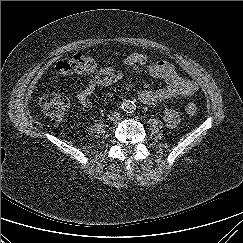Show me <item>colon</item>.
Returning <instances> with one entry per match:
<instances>
[{
    "label": "colon",
    "instance_id": "1",
    "mask_svg": "<svg viewBox=\"0 0 243 243\" xmlns=\"http://www.w3.org/2000/svg\"><path fill=\"white\" fill-rule=\"evenodd\" d=\"M55 70L60 74L94 73L102 77L113 76L118 72L115 66H101L94 59L80 53L59 60L55 65ZM40 103L45 114L57 122L64 119L70 105L66 94L49 89L42 92ZM198 109L197 103L191 100L184 105V111L189 116H195Z\"/></svg>",
    "mask_w": 243,
    "mask_h": 243
}]
</instances>
